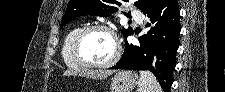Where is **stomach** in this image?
Listing matches in <instances>:
<instances>
[{
  "label": "stomach",
  "mask_w": 225,
  "mask_h": 92,
  "mask_svg": "<svg viewBox=\"0 0 225 92\" xmlns=\"http://www.w3.org/2000/svg\"><path fill=\"white\" fill-rule=\"evenodd\" d=\"M138 84V76L133 71H119L112 78L111 92H131Z\"/></svg>",
  "instance_id": "1"
}]
</instances>
